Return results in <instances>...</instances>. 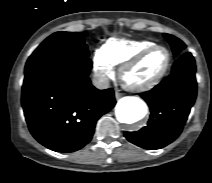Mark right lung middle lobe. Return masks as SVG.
Masks as SVG:
<instances>
[{
    "label": "right lung middle lobe",
    "instance_id": "1",
    "mask_svg": "<svg viewBox=\"0 0 212 183\" xmlns=\"http://www.w3.org/2000/svg\"><path fill=\"white\" fill-rule=\"evenodd\" d=\"M85 34L59 31L45 39L29 59L44 56L88 57Z\"/></svg>",
    "mask_w": 212,
    "mask_h": 183
}]
</instances>
